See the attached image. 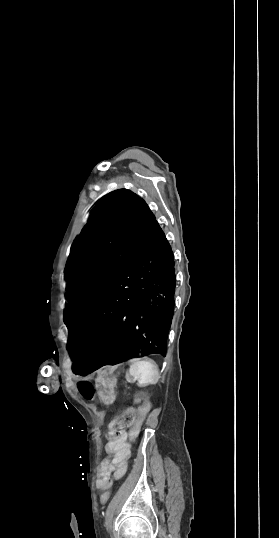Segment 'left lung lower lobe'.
<instances>
[{
    "mask_svg": "<svg viewBox=\"0 0 279 538\" xmlns=\"http://www.w3.org/2000/svg\"><path fill=\"white\" fill-rule=\"evenodd\" d=\"M174 293L173 253L155 221L84 322L69 332L73 372L86 375L134 353L165 356Z\"/></svg>",
    "mask_w": 279,
    "mask_h": 538,
    "instance_id": "obj_1",
    "label": "left lung lower lobe"
}]
</instances>
